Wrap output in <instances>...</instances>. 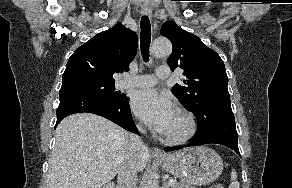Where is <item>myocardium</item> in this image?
<instances>
[{
    "label": "myocardium",
    "instance_id": "f54148a6",
    "mask_svg": "<svg viewBox=\"0 0 292 188\" xmlns=\"http://www.w3.org/2000/svg\"><path fill=\"white\" fill-rule=\"evenodd\" d=\"M177 113L184 117L187 123V129L178 135H163L164 142L171 145H179L190 140L197 132V122L194 115L186 109L179 108Z\"/></svg>",
    "mask_w": 292,
    "mask_h": 188
}]
</instances>
